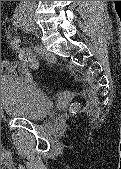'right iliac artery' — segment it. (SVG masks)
<instances>
[{
    "label": "right iliac artery",
    "instance_id": "82829eb1",
    "mask_svg": "<svg viewBox=\"0 0 121 169\" xmlns=\"http://www.w3.org/2000/svg\"><path fill=\"white\" fill-rule=\"evenodd\" d=\"M23 14H24V11H23L22 7L18 6L15 9V12H14V15H13V25L15 26L16 30L20 26L24 25V23H22Z\"/></svg>",
    "mask_w": 121,
    "mask_h": 169
}]
</instances>
